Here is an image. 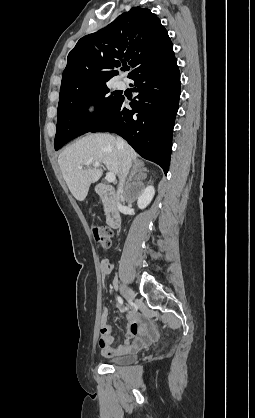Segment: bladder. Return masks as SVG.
<instances>
[{
    "label": "bladder",
    "instance_id": "31cf9c89",
    "mask_svg": "<svg viewBox=\"0 0 255 418\" xmlns=\"http://www.w3.org/2000/svg\"><path fill=\"white\" fill-rule=\"evenodd\" d=\"M135 359H136V355L128 354V355L106 358L105 362L108 364H112V365H126L129 363H132Z\"/></svg>",
    "mask_w": 255,
    "mask_h": 418
}]
</instances>
